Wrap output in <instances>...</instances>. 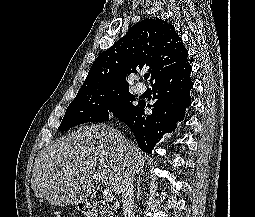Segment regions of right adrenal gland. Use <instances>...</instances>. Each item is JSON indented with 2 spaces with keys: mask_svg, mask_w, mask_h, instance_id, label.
I'll return each mask as SVG.
<instances>
[{
  "mask_svg": "<svg viewBox=\"0 0 255 217\" xmlns=\"http://www.w3.org/2000/svg\"><path fill=\"white\" fill-rule=\"evenodd\" d=\"M136 185H137L136 195H137V199L139 200V199H140L141 192H142V191H141V175L138 176Z\"/></svg>",
  "mask_w": 255,
  "mask_h": 217,
  "instance_id": "2a0ac1e0",
  "label": "right adrenal gland"
}]
</instances>
